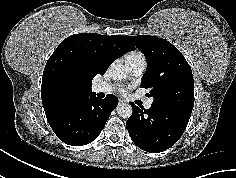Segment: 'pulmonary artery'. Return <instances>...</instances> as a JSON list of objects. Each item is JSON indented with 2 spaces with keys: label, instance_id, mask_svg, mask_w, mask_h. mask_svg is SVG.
<instances>
[{
  "label": "pulmonary artery",
  "instance_id": "pulmonary-artery-1",
  "mask_svg": "<svg viewBox=\"0 0 236 178\" xmlns=\"http://www.w3.org/2000/svg\"><path fill=\"white\" fill-rule=\"evenodd\" d=\"M125 65L130 75L139 76L146 68V61L144 58L127 57L125 60ZM92 90L96 93H109L113 90V87L109 84L99 83L94 85ZM152 104L153 100L149 99L144 103V107L146 109H150Z\"/></svg>",
  "mask_w": 236,
  "mask_h": 178
}]
</instances>
